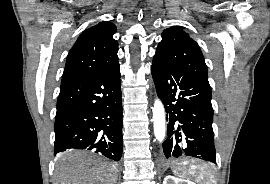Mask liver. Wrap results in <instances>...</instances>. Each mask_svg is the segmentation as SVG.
Wrapping results in <instances>:
<instances>
[{
    "label": "liver",
    "instance_id": "liver-1",
    "mask_svg": "<svg viewBox=\"0 0 270 184\" xmlns=\"http://www.w3.org/2000/svg\"><path fill=\"white\" fill-rule=\"evenodd\" d=\"M66 160L65 157H62ZM60 165L55 173L56 184H116L117 169L113 163L91 159L77 153Z\"/></svg>",
    "mask_w": 270,
    "mask_h": 184
}]
</instances>
